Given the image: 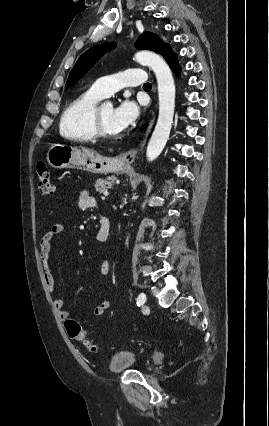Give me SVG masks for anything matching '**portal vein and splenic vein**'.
Returning <instances> with one entry per match:
<instances>
[{"label": "portal vein and splenic vein", "mask_w": 269, "mask_h": 426, "mask_svg": "<svg viewBox=\"0 0 269 426\" xmlns=\"http://www.w3.org/2000/svg\"><path fill=\"white\" fill-rule=\"evenodd\" d=\"M103 195H104V196H108V195H109V193H108L107 191H105V192L103 193Z\"/></svg>", "instance_id": "obj_1"}]
</instances>
